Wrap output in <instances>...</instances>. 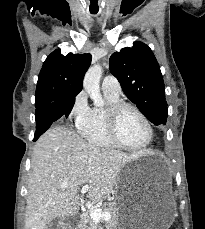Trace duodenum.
Masks as SVG:
<instances>
[{
	"label": "duodenum",
	"instance_id": "1",
	"mask_svg": "<svg viewBox=\"0 0 205 229\" xmlns=\"http://www.w3.org/2000/svg\"><path fill=\"white\" fill-rule=\"evenodd\" d=\"M80 220H81V218H80V217H78V218H76V219L74 220V223H79V222H80Z\"/></svg>",
	"mask_w": 205,
	"mask_h": 229
}]
</instances>
